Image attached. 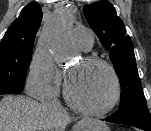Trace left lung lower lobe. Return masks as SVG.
<instances>
[{
	"label": "left lung lower lobe",
	"instance_id": "left-lung-lower-lobe-1",
	"mask_svg": "<svg viewBox=\"0 0 151 131\" xmlns=\"http://www.w3.org/2000/svg\"><path fill=\"white\" fill-rule=\"evenodd\" d=\"M106 121L134 126L144 131H151V114L147 105L142 103H133L130 106L119 109L106 118Z\"/></svg>",
	"mask_w": 151,
	"mask_h": 131
}]
</instances>
